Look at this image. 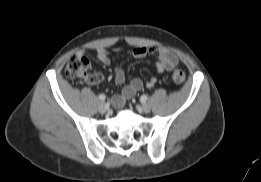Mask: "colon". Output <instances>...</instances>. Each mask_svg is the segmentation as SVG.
<instances>
[{
	"mask_svg": "<svg viewBox=\"0 0 261 182\" xmlns=\"http://www.w3.org/2000/svg\"><path fill=\"white\" fill-rule=\"evenodd\" d=\"M66 75L71 79L89 80L91 74V64L86 57L72 56L67 62L65 68ZM172 79L176 84H182L185 80V74L180 69H175L172 72Z\"/></svg>",
	"mask_w": 261,
	"mask_h": 182,
	"instance_id": "1",
	"label": "colon"
}]
</instances>
